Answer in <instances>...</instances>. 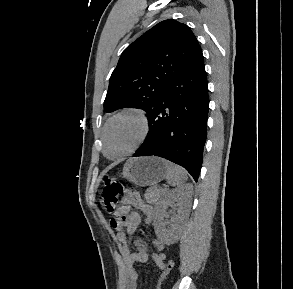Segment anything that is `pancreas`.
I'll list each match as a JSON object with an SVG mask.
<instances>
[{
	"label": "pancreas",
	"mask_w": 293,
	"mask_h": 289,
	"mask_svg": "<svg viewBox=\"0 0 293 289\" xmlns=\"http://www.w3.org/2000/svg\"><path fill=\"white\" fill-rule=\"evenodd\" d=\"M164 194L165 190L153 187L146 190L144 198L148 203L156 204Z\"/></svg>",
	"instance_id": "pancreas-1"
}]
</instances>
